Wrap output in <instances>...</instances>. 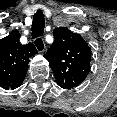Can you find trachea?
<instances>
[{"mask_svg": "<svg viewBox=\"0 0 117 117\" xmlns=\"http://www.w3.org/2000/svg\"><path fill=\"white\" fill-rule=\"evenodd\" d=\"M44 33V19L42 17L37 18L32 25V38L43 36Z\"/></svg>", "mask_w": 117, "mask_h": 117, "instance_id": "3493384b", "label": "trachea"}]
</instances>
